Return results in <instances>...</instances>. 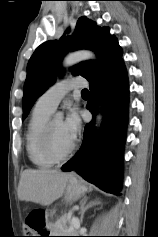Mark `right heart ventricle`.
Instances as JSON below:
<instances>
[{
    "label": "right heart ventricle",
    "instance_id": "right-heart-ventricle-1",
    "mask_svg": "<svg viewBox=\"0 0 158 237\" xmlns=\"http://www.w3.org/2000/svg\"><path fill=\"white\" fill-rule=\"evenodd\" d=\"M52 112L35 105L26 132V151L30 161L38 168H49L54 162L48 159L41 148V134Z\"/></svg>",
    "mask_w": 158,
    "mask_h": 237
}]
</instances>
